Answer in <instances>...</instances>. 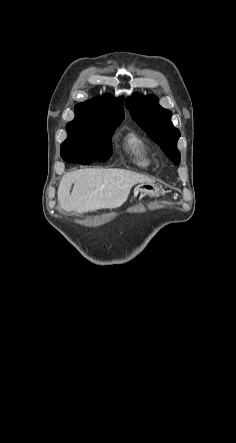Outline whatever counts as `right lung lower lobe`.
Returning <instances> with one entry per match:
<instances>
[{"instance_id":"obj_1","label":"right lung lower lobe","mask_w":236,"mask_h":443,"mask_svg":"<svg viewBox=\"0 0 236 443\" xmlns=\"http://www.w3.org/2000/svg\"><path fill=\"white\" fill-rule=\"evenodd\" d=\"M113 149L96 146H69L61 149V157L69 163L91 164L107 161Z\"/></svg>"}]
</instances>
